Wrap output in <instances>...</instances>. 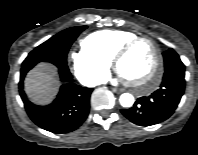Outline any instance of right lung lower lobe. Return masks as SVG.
Returning a JSON list of instances; mask_svg holds the SVG:
<instances>
[{"mask_svg": "<svg viewBox=\"0 0 198 155\" xmlns=\"http://www.w3.org/2000/svg\"><path fill=\"white\" fill-rule=\"evenodd\" d=\"M41 61L54 64L59 70L63 83L57 98L47 106H37L31 103L23 90V80L26 73ZM19 89L31 120L39 127L53 133L71 132L85 121L89 113L90 94L93 91V89L74 84L66 62L56 59L33 60L23 63Z\"/></svg>", "mask_w": 198, "mask_h": 155, "instance_id": "1", "label": "right lung lower lobe"}]
</instances>
